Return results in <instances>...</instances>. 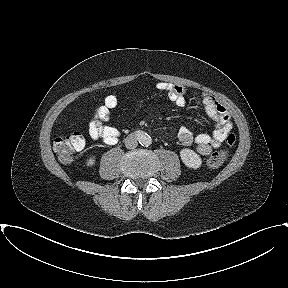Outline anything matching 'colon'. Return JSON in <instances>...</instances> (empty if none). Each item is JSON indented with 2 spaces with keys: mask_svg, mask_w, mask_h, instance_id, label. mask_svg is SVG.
I'll return each instance as SVG.
<instances>
[{
  "mask_svg": "<svg viewBox=\"0 0 288 288\" xmlns=\"http://www.w3.org/2000/svg\"><path fill=\"white\" fill-rule=\"evenodd\" d=\"M236 136L233 133L227 135L225 142L227 148L213 153L207 160L206 165L210 169L219 168L227 159L228 148L235 144ZM85 146L84 136L80 132L61 133L55 139L53 147L59 159L63 163H69L73 160L75 154Z\"/></svg>",
  "mask_w": 288,
  "mask_h": 288,
  "instance_id": "5ec220e1",
  "label": "colon"
}]
</instances>
